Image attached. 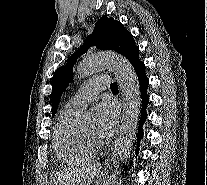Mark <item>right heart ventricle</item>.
<instances>
[{
	"label": "right heart ventricle",
	"instance_id": "obj_1",
	"mask_svg": "<svg viewBox=\"0 0 207 185\" xmlns=\"http://www.w3.org/2000/svg\"><path fill=\"white\" fill-rule=\"evenodd\" d=\"M74 111L65 109L59 116L54 130V146L60 159L70 165L92 161L95 150L75 125Z\"/></svg>",
	"mask_w": 207,
	"mask_h": 185
}]
</instances>
